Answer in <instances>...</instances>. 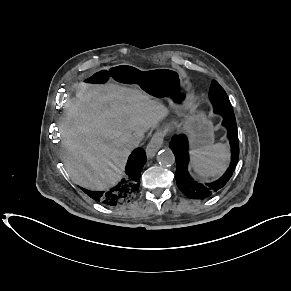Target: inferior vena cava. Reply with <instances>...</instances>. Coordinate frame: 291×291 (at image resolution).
I'll return each instance as SVG.
<instances>
[{"label": "inferior vena cava", "instance_id": "1", "mask_svg": "<svg viewBox=\"0 0 291 291\" xmlns=\"http://www.w3.org/2000/svg\"><path fill=\"white\" fill-rule=\"evenodd\" d=\"M141 139L138 136H132L129 140H128V146L133 149L135 147H138L139 143H140Z\"/></svg>", "mask_w": 291, "mask_h": 291}]
</instances>
